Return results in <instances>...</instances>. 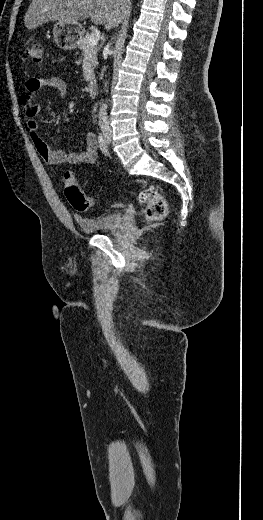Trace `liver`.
<instances>
[{"label":"liver","instance_id":"1","mask_svg":"<svg viewBox=\"0 0 263 520\" xmlns=\"http://www.w3.org/2000/svg\"><path fill=\"white\" fill-rule=\"evenodd\" d=\"M130 0H32L25 15V26L35 29L48 21H78L91 18L94 24L111 29L124 18Z\"/></svg>","mask_w":263,"mask_h":520}]
</instances>
